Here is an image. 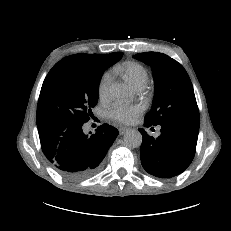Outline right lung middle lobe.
<instances>
[{
    "mask_svg": "<svg viewBox=\"0 0 231 231\" xmlns=\"http://www.w3.org/2000/svg\"><path fill=\"white\" fill-rule=\"evenodd\" d=\"M122 56L114 52L100 58L65 57L46 76L37 105V125L51 122L85 123L98 102L103 72Z\"/></svg>",
    "mask_w": 231,
    "mask_h": 231,
    "instance_id": "dd1d6c3e",
    "label": "right lung middle lobe"
}]
</instances>
